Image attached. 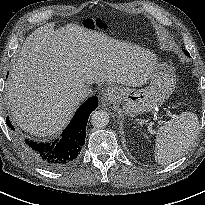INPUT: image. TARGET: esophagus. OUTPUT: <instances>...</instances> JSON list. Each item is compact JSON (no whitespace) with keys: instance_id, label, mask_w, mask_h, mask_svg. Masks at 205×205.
Wrapping results in <instances>:
<instances>
[{"instance_id":"34e87169","label":"esophagus","mask_w":205,"mask_h":205,"mask_svg":"<svg viewBox=\"0 0 205 205\" xmlns=\"http://www.w3.org/2000/svg\"><path fill=\"white\" fill-rule=\"evenodd\" d=\"M116 92L112 87H104L102 89V100L103 103L113 102L116 100Z\"/></svg>"}]
</instances>
